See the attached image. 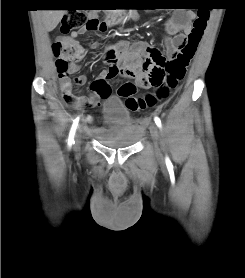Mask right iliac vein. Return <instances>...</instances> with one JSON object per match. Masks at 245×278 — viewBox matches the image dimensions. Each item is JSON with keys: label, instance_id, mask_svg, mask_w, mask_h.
<instances>
[{"label": "right iliac vein", "instance_id": "1", "mask_svg": "<svg viewBox=\"0 0 245 278\" xmlns=\"http://www.w3.org/2000/svg\"><path fill=\"white\" fill-rule=\"evenodd\" d=\"M81 139H82V130L78 129L75 134V146H74L75 151H78L80 149Z\"/></svg>", "mask_w": 245, "mask_h": 278}]
</instances>
